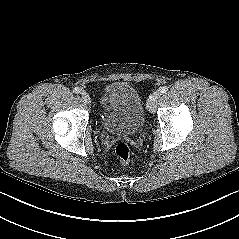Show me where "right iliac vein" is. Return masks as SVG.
Segmentation results:
<instances>
[{
    "mask_svg": "<svg viewBox=\"0 0 239 239\" xmlns=\"http://www.w3.org/2000/svg\"><path fill=\"white\" fill-rule=\"evenodd\" d=\"M81 98L84 101V103H86V104H89L91 102V98L86 91L81 92Z\"/></svg>",
    "mask_w": 239,
    "mask_h": 239,
    "instance_id": "right-iliac-vein-1",
    "label": "right iliac vein"
}]
</instances>
